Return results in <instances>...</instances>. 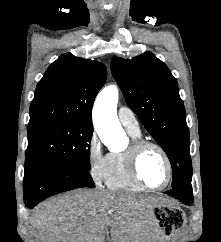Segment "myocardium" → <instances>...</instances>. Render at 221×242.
<instances>
[{
  "instance_id": "obj_1",
  "label": "myocardium",
  "mask_w": 221,
  "mask_h": 242,
  "mask_svg": "<svg viewBox=\"0 0 221 242\" xmlns=\"http://www.w3.org/2000/svg\"><path fill=\"white\" fill-rule=\"evenodd\" d=\"M148 148L157 149L163 156L166 163L167 179L166 182L160 187H151L148 184H146L139 171V163L141 156ZM126 155L129 172L133 180L143 189L149 191H162L169 186L173 178V165L168 153L159 143L145 139L134 140L132 144L129 146V148L126 150Z\"/></svg>"
}]
</instances>
